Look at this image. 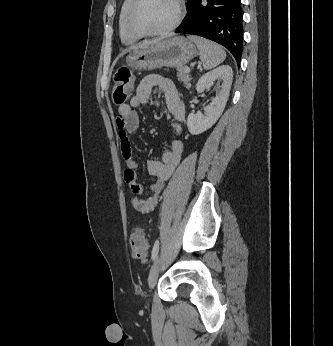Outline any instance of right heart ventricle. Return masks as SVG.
Here are the masks:
<instances>
[{
	"label": "right heart ventricle",
	"instance_id": "obj_1",
	"mask_svg": "<svg viewBox=\"0 0 333 346\" xmlns=\"http://www.w3.org/2000/svg\"><path fill=\"white\" fill-rule=\"evenodd\" d=\"M133 0H123L118 16V31L121 41L125 44H132L139 40L137 36L127 28V15Z\"/></svg>",
	"mask_w": 333,
	"mask_h": 346
}]
</instances>
